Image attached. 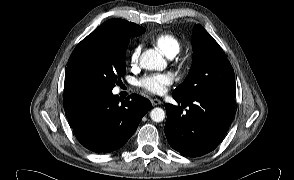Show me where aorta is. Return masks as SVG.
Segmentation results:
<instances>
[{"label":"aorta","mask_w":294,"mask_h":180,"mask_svg":"<svg viewBox=\"0 0 294 180\" xmlns=\"http://www.w3.org/2000/svg\"><path fill=\"white\" fill-rule=\"evenodd\" d=\"M140 65L147 70L162 71L166 68L167 62L162 55L153 49H148L140 57ZM150 118L154 122H162L165 119V112L162 108L156 107L151 110Z\"/></svg>","instance_id":"762f6f07"}]
</instances>
